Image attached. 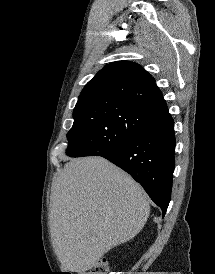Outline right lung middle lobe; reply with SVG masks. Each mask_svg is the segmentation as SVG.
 Returning <instances> with one entry per match:
<instances>
[{
  "label": "right lung middle lobe",
  "instance_id": "right-lung-middle-lobe-1",
  "mask_svg": "<svg viewBox=\"0 0 215 274\" xmlns=\"http://www.w3.org/2000/svg\"><path fill=\"white\" fill-rule=\"evenodd\" d=\"M73 116L66 153L83 157L116 149L157 115L121 101L96 100L76 104Z\"/></svg>",
  "mask_w": 215,
  "mask_h": 274
}]
</instances>
